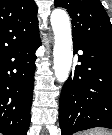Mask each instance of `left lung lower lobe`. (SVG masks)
Here are the masks:
<instances>
[{
	"label": "left lung lower lobe",
	"mask_w": 112,
	"mask_h": 135,
	"mask_svg": "<svg viewBox=\"0 0 112 135\" xmlns=\"http://www.w3.org/2000/svg\"><path fill=\"white\" fill-rule=\"evenodd\" d=\"M78 62L59 101L62 135L93 127L112 129V47L73 41Z\"/></svg>",
	"instance_id": "1"
}]
</instances>
